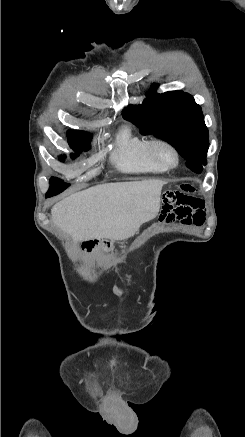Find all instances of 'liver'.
<instances>
[{
	"mask_svg": "<svg viewBox=\"0 0 245 437\" xmlns=\"http://www.w3.org/2000/svg\"><path fill=\"white\" fill-rule=\"evenodd\" d=\"M164 184L150 179L94 186L56 203L52 220L75 242L126 240L158 215Z\"/></svg>",
	"mask_w": 245,
	"mask_h": 437,
	"instance_id": "1",
	"label": "liver"
}]
</instances>
